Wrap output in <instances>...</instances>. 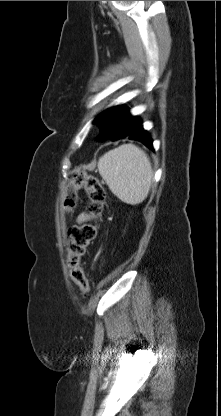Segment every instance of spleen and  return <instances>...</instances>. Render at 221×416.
<instances>
[{
	"label": "spleen",
	"mask_w": 221,
	"mask_h": 416,
	"mask_svg": "<svg viewBox=\"0 0 221 416\" xmlns=\"http://www.w3.org/2000/svg\"><path fill=\"white\" fill-rule=\"evenodd\" d=\"M98 170L110 190L127 204H139L149 194L153 170L147 154L134 144H123L105 153Z\"/></svg>",
	"instance_id": "3e777b00"
}]
</instances>
